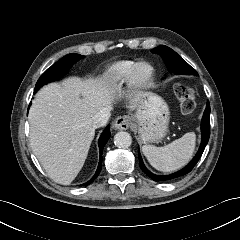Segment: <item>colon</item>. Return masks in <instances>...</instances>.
<instances>
[{"instance_id": "5ec220e1", "label": "colon", "mask_w": 240, "mask_h": 240, "mask_svg": "<svg viewBox=\"0 0 240 240\" xmlns=\"http://www.w3.org/2000/svg\"><path fill=\"white\" fill-rule=\"evenodd\" d=\"M174 93L180 100L182 111L185 114H192L196 108V97L194 90L185 84L177 83L174 85Z\"/></svg>"}]
</instances>
